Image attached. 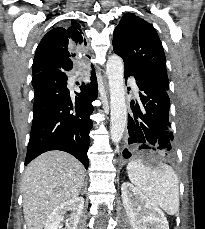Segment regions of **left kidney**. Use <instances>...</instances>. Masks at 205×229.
Instances as JSON below:
<instances>
[{"label":"left kidney","mask_w":205,"mask_h":229,"mask_svg":"<svg viewBox=\"0 0 205 229\" xmlns=\"http://www.w3.org/2000/svg\"><path fill=\"white\" fill-rule=\"evenodd\" d=\"M122 201L132 229H169L164 212L129 182L121 187Z\"/></svg>","instance_id":"left-kidney-1"}]
</instances>
